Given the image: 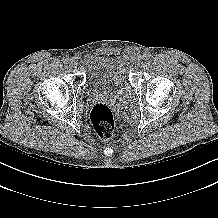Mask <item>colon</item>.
Here are the masks:
<instances>
[{
    "label": "colon",
    "mask_w": 218,
    "mask_h": 218,
    "mask_svg": "<svg viewBox=\"0 0 218 218\" xmlns=\"http://www.w3.org/2000/svg\"><path fill=\"white\" fill-rule=\"evenodd\" d=\"M89 119L94 132L101 140H108L112 136L115 118L110 107L95 105L90 111Z\"/></svg>",
    "instance_id": "obj_1"
}]
</instances>
